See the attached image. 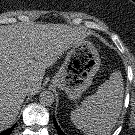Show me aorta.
<instances>
[{
  "instance_id": "obj_1",
  "label": "aorta",
  "mask_w": 135,
  "mask_h": 135,
  "mask_svg": "<svg viewBox=\"0 0 135 135\" xmlns=\"http://www.w3.org/2000/svg\"><path fill=\"white\" fill-rule=\"evenodd\" d=\"M39 101L43 106H51L55 101L54 94L50 91H43L40 93Z\"/></svg>"
}]
</instances>
